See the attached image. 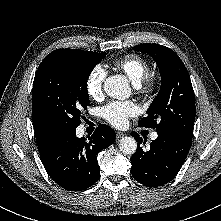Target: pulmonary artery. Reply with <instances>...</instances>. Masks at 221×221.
I'll use <instances>...</instances> for the list:
<instances>
[{"label":"pulmonary artery","mask_w":221,"mask_h":221,"mask_svg":"<svg viewBox=\"0 0 221 221\" xmlns=\"http://www.w3.org/2000/svg\"><path fill=\"white\" fill-rule=\"evenodd\" d=\"M157 137H158V134H157L156 132H153V133L151 134V139H152V140L157 139Z\"/></svg>","instance_id":"obj_1"}]
</instances>
